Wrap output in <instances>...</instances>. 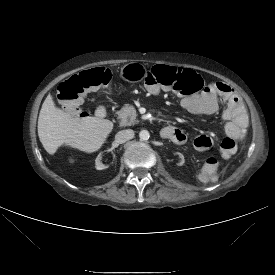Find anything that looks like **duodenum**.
<instances>
[{
    "mask_svg": "<svg viewBox=\"0 0 275 275\" xmlns=\"http://www.w3.org/2000/svg\"><path fill=\"white\" fill-rule=\"evenodd\" d=\"M95 113H96V116H97L98 118H104V117L106 116V113H107L105 106L102 105V104L99 105V106L97 107Z\"/></svg>",
    "mask_w": 275,
    "mask_h": 275,
    "instance_id": "410a0bca",
    "label": "duodenum"
}]
</instances>
